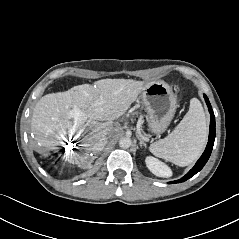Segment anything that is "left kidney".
Wrapping results in <instances>:
<instances>
[{
    "label": "left kidney",
    "instance_id": "obj_1",
    "mask_svg": "<svg viewBox=\"0 0 239 239\" xmlns=\"http://www.w3.org/2000/svg\"><path fill=\"white\" fill-rule=\"evenodd\" d=\"M145 162L147 168L158 177H170L172 175L171 169L154 157H146Z\"/></svg>",
    "mask_w": 239,
    "mask_h": 239
}]
</instances>
